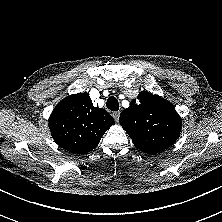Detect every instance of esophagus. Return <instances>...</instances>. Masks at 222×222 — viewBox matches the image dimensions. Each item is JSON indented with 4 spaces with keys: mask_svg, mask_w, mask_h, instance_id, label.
<instances>
[{
    "mask_svg": "<svg viewBox=\"0 0 222 222\" xmlns=\"http://www.w3.org/2000/svg\"><path fill=\"white\" fill-rule=\"evenodd\" d=\"M113 118L115 119L116 122L119 121V117H120V112L119 111H116V112H113Z\"/></svg>",
    "mask_w": 222,
    "mask_h": 222,
    "instance_id": "esophagus-1",
    "label": "esophagus"
}]
</instances>
